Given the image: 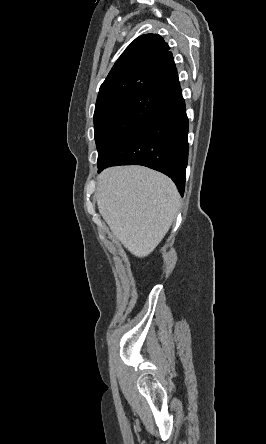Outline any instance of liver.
Masks as SVG:
<instances>
[{
	"instance_id": "obj_1",
	"label": "liver",
	"mask_w": 266,
	"mask_h": 444,
	"mask_svg": "<svg viewBox=\"0 0 266 444\" xmlns=\"http://www.w3.org/2000/svg\"><path fill=\"white\" fill-rule=\"evenodd\" d=\"M95 196L113 235L140 258L158 246L179 210V193L172 180L142 166L104 170Z\"/></svg>"
}]
</instances>
